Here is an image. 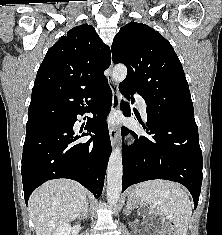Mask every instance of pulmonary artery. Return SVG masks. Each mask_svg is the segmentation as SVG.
<instances>
[{
	"instance_id": "1",
	"label": "pulmonary artery",
	"mask_w": 222,
	"mask_h": 235,
	"mask_svg": "<svg viewBox=\"0 0 222 235\" xmlns=\"http://www.w3.org/2000/svg\"><path fill=\"white\" fill-rule=\"evenodd\" d=\"M135 98L137 100V103L139 105V108L141 110L142 115L144 117H146L147 116V114H146V107H147V105H146L145 100L141 96H139L137 94H135Z\"/></svg>"
}]
</instances>
